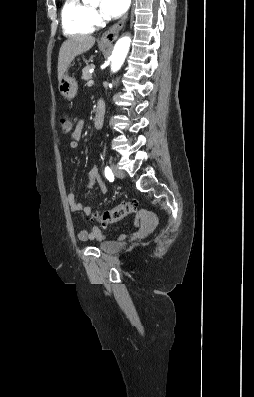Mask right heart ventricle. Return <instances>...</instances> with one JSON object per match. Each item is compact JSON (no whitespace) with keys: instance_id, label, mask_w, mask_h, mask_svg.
Returning <instances> with one entry per match:
<instances>
[{"instance_id":"obj_1","label":"right heart ventricle","mask_w":254,"mask_h":397,"mask_svg":"<svg viewBox=\"0 0 254 397\" xmlns=\"http://www.w3.org/2000/svg\"><path fill=\"white\" fill-rule=\"evenodd\" d=\"M61 21L63 32L67 36L89 34L95 28L91 9L82 0H64Z\"/></svg>"}]
</instances>
